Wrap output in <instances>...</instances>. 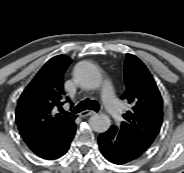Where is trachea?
Here are the masks:
<instances>
[{
	"label": "trachea",
	"mask_w": 184,
	"mask_h": 173,
	"mask_svg": "<svg viewBox=\"0 0 184 173\" xmlns=\"http://www.w3.org/2000/svg\"><path fill=\"white\" fill-rule=\"evenodd\" d=\"M87 109L98 112L100 109L99 103L95 100L85 99L74 108L71 114H77Z\"/></svg>",
	"instance_id": "1"
}]
</instances>
